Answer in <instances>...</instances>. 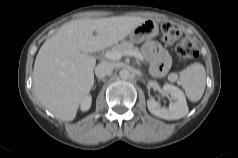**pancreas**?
I'll use <instances>...</instances> for the list:
<instances>
[{
    "label": "pancreas",
    "mask_w": 238,
    "mask_h": 158,
    "mask_svg": "<svg viewBox=\"0 0 238 158\" xmlns=\"http://www.w3.org/2000/svg\"><path fill=\"white\" fill-rule=\"evenodd\" d=\"M126 50H133L140 53L139 48L135 47L130 41H123L119 44H116L110 51L124 52Z\"/></svg>",
    "instance_id": "pancreas-1"
}]
</instances>
